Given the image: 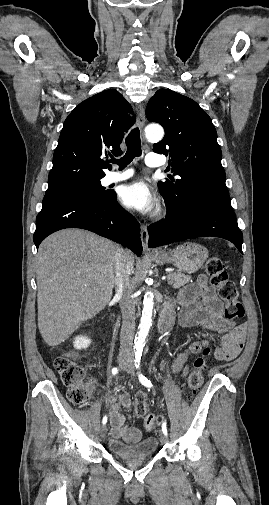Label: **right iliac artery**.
<instances>
[{
  "instance_id": "82829eb1",
  "label": "right iliac artery",
  "mask_w": 269,
  "mask_h": 505,
  "mask_svg": "<svg viewBox=\"0 0 269 505\" xmlns=\"http://www.w3.org/2000/svg\"><path fill=\"white\" fill-rule=\"evenodd\" d=\"M117 373H118V368L117 367L112 368V374L116 375ZM102 423H103V425H105L107 423V416L106 415L103 417Z\"/></svg>"
}]
</instances>
